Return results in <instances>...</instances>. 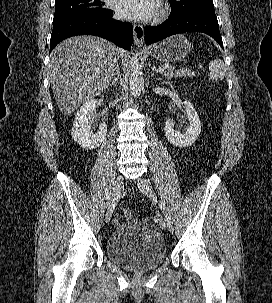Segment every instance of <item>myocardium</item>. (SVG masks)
I'll use <instances>...</instances> for the list:
<instances>
[{"mask_svg": "<svg viewBox=\"0 0 272 303\" xmlns=\"http://www.w3.org/2000/svg\"><path fill=\"white\" fill-rule=\"evenodd\" d=\"M169 8L166 4H162L159 11V17H164L167 15Z\"/></svg>", "mask_w": 272, "mask_h": 303, "instance_id": "obj_1", "label": "myocardium"}]
</instances>
